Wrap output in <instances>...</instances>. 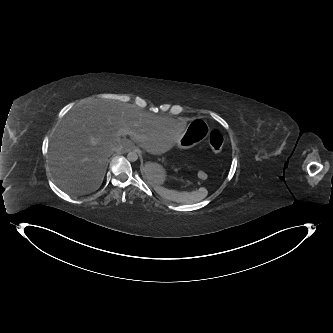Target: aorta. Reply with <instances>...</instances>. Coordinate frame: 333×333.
<instances>
[{"label":"aorta","instance_id":"obj_1","mask_svg":"<svg viewBox=\"0 0 333 333\" xmlns=\"http://www.w3.org/2000/svg\"><path fill=\"white\" fill-rule=\"evenodd\" d=\"M127 159L130 161V162H135L138 160V154L135 152V151H130L128 154H127Z\"/></svg>","mask_w":333,"mask_h":333}]
</instances>
